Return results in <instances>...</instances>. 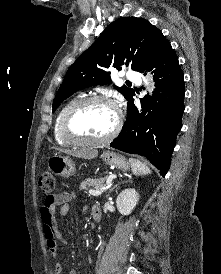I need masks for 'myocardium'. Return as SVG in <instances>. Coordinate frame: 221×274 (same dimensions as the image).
Segmentation results:
<instances>
[{"instance_id": "myocardium-1", "label": "myocardium", "mask_w": 221, "mask_h": 274, "mask_svg": "<svg viewBox=\"0 0 221 274\" xmlns=\"http://www.w3.org/2000/svg\"><path fill=\"white\" fill-rule=\"evenodd\" d=\"M102 103L109 105L115 111L116 119L112 130L105 136L100 138H88L75 133L71 127V118L75 111L79 108L93 104ZM122 126V113L117 103L106 96L94 95L83 97L72 101L67 108L64 110L61 121H60V131L65 139L70 141L72 144L77 145H98L111 141L120 131Z\"/></svg>"}]
</instances>
